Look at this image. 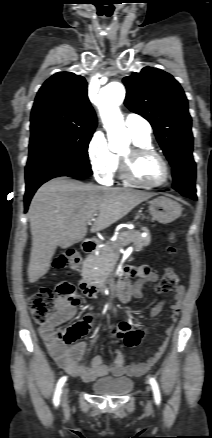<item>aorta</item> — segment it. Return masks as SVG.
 Returning <instances> with one entry per match:
<instances>
[{"label": "aorta", "mask_w": 212, "mask_h": 438, "mask_svg": "<svg viewBox=\"0 0 212 438\" xmlns=\"http://www.w3.org/2000/svg\"><path fill=\"white\" fill-rule=\"evenodd\" d=\"M125 98V88L117 81L104 86L98 95L97 106L100 116L107 130L109 147L116 150L119 146L129 143V135L125 127L119 105Z\"/></svg>", "instance_id": "aorta-1"}]
</instances>
